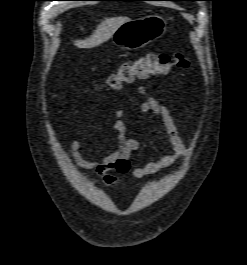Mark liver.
<instances>
[{"label": "liver", "mask_w": 247, "mask_h": 265, "mask_svg": "<svg viewBox=\"0 0 247 265\" xmlns=\"http://www.w3.org/2000/svg\"><path fill=\"white\" fill-rule=\"evenodd\" d=\"M128 17H112L103 20L94 30L92 35L85 40H75L74 45L78 48H93L113 37L117 29L129 21Z\"/></svg>", "instance_id": "1"}]
</instances>
